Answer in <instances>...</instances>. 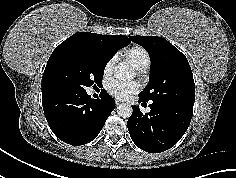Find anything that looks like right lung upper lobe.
I'll return each instance as SVG.
<instances>
[{
  "label": "right lung upper lobe",
  "instance_id": "1",
  "mask_svg": "<svg viewBox=\"0 0 236 178\" xmlns=\"http://www.w3.org/2000/svg\"><path fill=\"white\" fill-rule=\"evenodd\" d=\"M129 43L130 40L125 35L107 36L89 32L75 33L56 47V49L51 54L48 62H50V60L54 58L55 55L59 53L61 50L71 46H90V47L105 48L112 50L116 53L119 49L128 45Z\"/></svg>",
  "mask_w": 236,
  "mask_h": 178
}]
</instances>
